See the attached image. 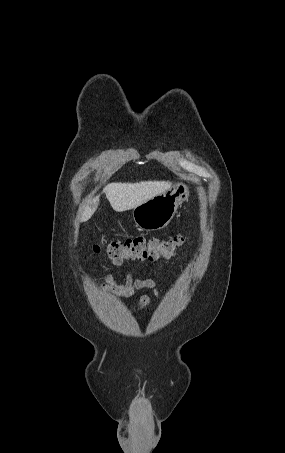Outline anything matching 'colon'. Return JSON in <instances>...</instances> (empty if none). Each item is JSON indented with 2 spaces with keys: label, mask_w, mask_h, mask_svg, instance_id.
I'll return each mask as SVG.
<instances>
[{
  "label": "colon",
  "mask_w": 285,
  "mask_h": 453,
  "mask_svg": "<svg viewBox=\"0 0 285 453\" xmlns=\"http://www.w3.org/2000/svg\"><path fill=\"white\" fill-rule=\"evenodd\" d=\"M185 241L186 236L182 234L167 239L141 236L117 241L102 239L94 245V250L96 252L104 251L116 263L129 259L155 261L175 256Z\"/></svg>",
  "instance_id": "5ec220e1"
}]
</instances>
